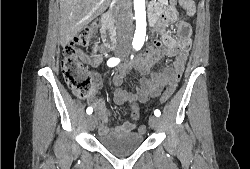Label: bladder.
Masks as SVG:
<instances>
[{"instance_id":"31cf9c89","label":"bladder","mask_w":250,"mask_h":169,"mask_svg":"<svg viewBox=\"0 0 250 169\" xmlns=\"http://www.w3.org/2000/svg\"><path fill=\"white\" fill-rule=\"evenodd\" d=\"M145 137L137 133H98V143L116 157H128L143 144Z\"/></svg>"}]
</instances>
